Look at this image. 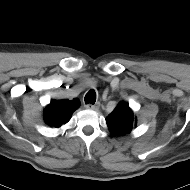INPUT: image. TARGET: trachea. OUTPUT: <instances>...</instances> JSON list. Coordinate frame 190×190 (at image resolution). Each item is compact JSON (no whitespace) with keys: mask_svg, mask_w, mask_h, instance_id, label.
Returning a JSON list of instances; mask_svg holds the SVG:
<instances>
[{"mask_svg":"<svg viewBox=\"0 0 190 190\" xmlns=\"http://www.w3.org/2000/svg\"><path fill=\"white\" fill-rule=\"evenodd\" d=\"M85 103L86 104H94L96 102V93L94 90H90L86 95H85Z\"/></svg>","mask_w":190,"mask_h":190,"instance_id":"obj_1","label":"trachea"}]
</instances>
